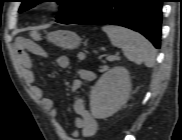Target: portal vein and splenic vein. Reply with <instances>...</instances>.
<instances>
[{
  "instance_id": "obj_1",
  "label": "portal vein and splenic vein",
  "mask_w": 182,
  "mask_h": 140,
  "mask_svg": "<svg viewBox=\"0 0 182 140\" xmlns=\"http://www.w3.org/2000/svg\"><path fill=\"white\" fill-rule=\"evenodd\" d=\"M107 60H108V61H114V60H116V56H114V55H109V56L107 57Z\"/></svg>"
}]
</instances>
